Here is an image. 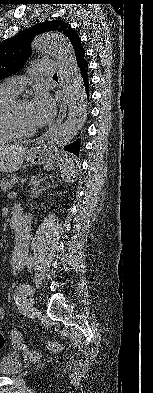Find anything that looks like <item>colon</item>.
<instances>
[{"instance_id":"colon-1","label":"colon","mask_w":153,"mask_h":393,"mask_svg":"<svg viewBox=\"0 0 153 393\" xmlns=\"http://www.w3.org/2000/svg\"><path fill=\"white\" fill-rule=\"evenodd\" d=\"M5 343H6L5 336L0 333V350L4 348ZM47 346L49 349H51L53 351H58L61 349L60 345L55 342H49V343H47Z\"/></svg>"}]
</instances>
